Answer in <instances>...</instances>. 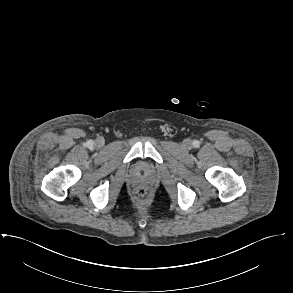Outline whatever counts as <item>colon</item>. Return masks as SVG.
<instances>
[{"instance_id":"5ec220e1","label":"colon","mask_w":293,"mask_h":293,"mask_svg":"<svg viewBox=\"0 0 293 293\" xmlns=\"http://www.w3.org/2000/svg\"><path fill=\"white\" fill-rule=\"evenodd\" d=\"M136 195L140 200H146L149 197V191L144 187H139L136 190Z\"/></svg>"}]
</instances>
